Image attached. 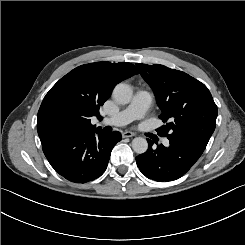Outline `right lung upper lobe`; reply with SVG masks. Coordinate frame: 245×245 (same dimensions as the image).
I'll list each match as a JSON object with an SVG mask.
<instances>
[{"label": "right lung upper lobe", "instance_id": "1", "mask_svg": "<svg viewBox=\"0 0 245 245\" xmlns=\"http://www.w3.org/2000/svg\"><path fill=\"white\" fill-rule=\"evenodd\" d=\"M138 74L131 63L95 62L81 65L61 78L46 94L38 111L42 145L61 136L95 129L92 116L119 82Z\"/></svg>", "mask_w": 245, "mask_h": 245}]
</instances>
